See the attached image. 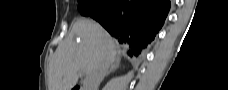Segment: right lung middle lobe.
<instances>
[{
  "instance_id": "right-lung-middle-lobe-1",
  "label": "right lung middle lobe",
  "mask_w": 228,
  "mask_h": 90,
  "mask_svg": "<svg viewBox=\"0 0 228 90\" xmlns=\"http://www.w3.org/2000/svg\"><path fill=\"white\" fill-rule=\"evenodd\" d=\"M78 2V9L84 16H93L107 5V0H78Z\"/></svg>"
}]
</instances>
